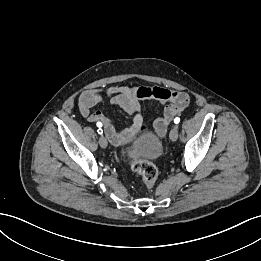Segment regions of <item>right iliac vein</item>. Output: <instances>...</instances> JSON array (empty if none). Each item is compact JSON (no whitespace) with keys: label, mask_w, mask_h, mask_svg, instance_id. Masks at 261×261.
I'll list each match as a JSON object with an SVG mask.
<instances>
[{"label":"right iliac vein","mask_w":261,"mask_h":261,"mask_svg":"<svg viewBox=\"0 0 261 261\" xmlns=\"http://www.w3.org/2000/svg\"><path fill=\"white\" fill-rule=\"evenodd\" d=\"M99 144H100V146L102 147V148H106L107 147V139H106V137L105 136H101L100 138H99Z\"/></svg>","instance_id":"right-iliac-vein-1"}]
</instances>
